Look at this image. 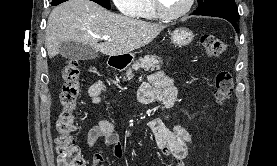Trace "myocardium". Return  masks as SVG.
<instances>
[{"instance_id": "myocardium-1", "label": "myocardium", "mask_w": 277, "mask_h": 166, "mask_svg": "<svg viewBox=\"0 0 277 166\" xmlns=\"http://www.w3.org/2000/svg\"><path fill=\"white\" fill-rule=\"evenodd\" d=\"M195 0H187L185 6L178 12L170 14L167 13L160 0H151L153 9L158 18L165 21H174L184 17L192 8Z\"/></svg>"}]
</instances>
